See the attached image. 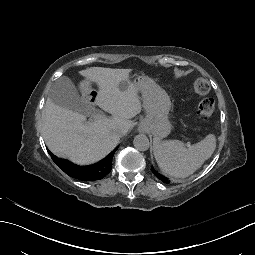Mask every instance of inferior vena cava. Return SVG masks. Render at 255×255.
<instances>
[{"label": "inferior vena cava", "mask_w": 255, "mask_h": 255, "mask_svg": "<svg viewBox=\"0 0 255 255\" xmlns=\"http://www.w3.org/2000/svg\"><path fill=\"white\" fill-rule=\"evenodd\" d=\"M130 125L131 124L128 121H123L115 128V131L120 137H122L127 133V131L130 128Z\"/></svg>", "instance_id": "obj_1"}]
</instances>
